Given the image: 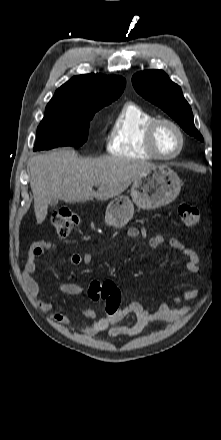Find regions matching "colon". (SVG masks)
I'll list each match as a JSON object with an SVG mask.
<instances>
[{"mask_svg": "<svg viewBox=\"0 0 221 440\" xmlns=\"http://www.w3.org/2000/svg\"><path fill=\"white\" fill-rule=\"evenodd\" d=\"M178 212L185 227L195 228L199 225L200 212L196 207L183 204L179 206ZM51 221L57 234L65 237L79 225L80 217L68 208H60L53 212ZM88 296L93 301H104V320L109 321L112 315H119L121 292L114 281H92L89 286Z\"/></svg>", "mask_w": 221, "mask_h": 440, "instance_id": "colon-1", "label": "colon"}]
</instances>
